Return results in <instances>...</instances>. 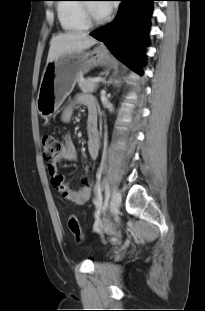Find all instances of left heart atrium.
Masks as SVG:
<instances>
[{"label":"left heart atrium","mask_w":205,"mask_h":311,"mask_svg":"<svg viewBox=\"0 0 205 311\" xmlns=\"http://www.w3.org/2000/svg\"><path fill=\"white\" fill-rule=\"evenodd\" d=\"M104 2H110V1H101L100 3L96 4L97 9L102 16L108 15L113 9L112 4H108V3H104Z\"/></svg>","instance_id":"1"}]
</instances>
